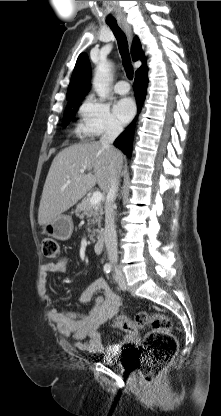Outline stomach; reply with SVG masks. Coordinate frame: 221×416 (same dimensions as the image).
Masks as SVG:
<instances>
[{
	"label": "stomach",
	"mask_w": 221,
	"mask_h": 416,
	"mask_svg": "<svg viewBox=\"0 0 221 416\" xmlns=\"http://www.w3.org/2000/svg\"><path fill=\"white\" fill-rule=\"evenodd\" d=\"M73 221L69 215H59L42 226V233L57 240L66 241L73 233Z\"/></svg>",
	"instance_id": "stomach-1"
}]
</instances>
